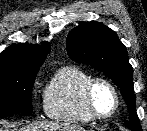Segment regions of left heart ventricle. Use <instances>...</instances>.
I'll return each mask as SVG.
<instances>
[{"label":"left heart ventricle","mask_w":147,"mask_h":131,"mask_svg":"<svg viewBox=\"0 0 147 131\" xmlns=\"http://www.w3.org/2000/svg\"><path fill=\"white\" fill-rule=\"evenodd\" d=\"M93 104L100 114L109 113L115 105L112 90L104 83H98L93 90Z\"/></svg>","instance_id":"obj_1"}]
</instances>
